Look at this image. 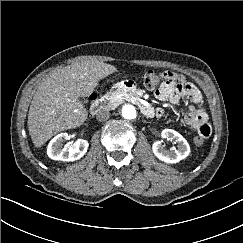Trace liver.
Returning a JSON list of instances; mask_svg holds the SVG:
<instances>
[{
    "instance_id": "6515ba94",
    "label": "liver",
    "mask_w": 243,
    "mask_h": 243,
    "mask_svg": "<svg viewBox=\"0 0 243 243\" xmlns=\"http://www.w3.org/2000/svg\"><path fill=\"white\" fill-rule=\"evenodd\" d=\"M100 61L75 62L46 76L38 85L28 113V130L35 147L58 132L81 126L88 112L79 97H88L99 81L116 72Z\"/></svg>"
}]
</instances>
